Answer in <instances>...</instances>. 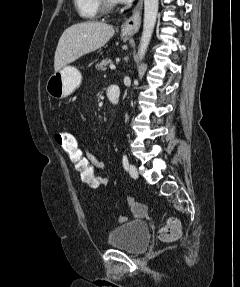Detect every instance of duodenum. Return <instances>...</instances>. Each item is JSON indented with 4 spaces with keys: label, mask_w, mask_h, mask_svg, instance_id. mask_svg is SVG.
Wrapping results in <instances>:
<instances>
[{
    "label": "duodenum",
    "mask_w": 240,
    "mask_h": 287,
    "mask_svg": "<svg viewBox=\"0 0 240 287\" xmlns=\"http://www.w3.org/2000/svg\"><path fill=\"white\" fill-rule=\"evenodd\" d=\"M107 98L113 104H117L119 102V100H120V88L118 85L113 84L108 88Z\"/></svg>",
    "instance_id": "obj_1"
}]
</instances>
